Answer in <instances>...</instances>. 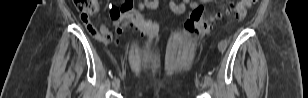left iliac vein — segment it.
Returning <instances> with one entry per match:
<instances>
[{
  "mask_svg": "<svg viewBox=\"0 0 308 98\" xmlns=\"http://www.w3.org/2000/svg\"><path fill=\"white\" fill-rule=\"evenodd\" d=\"M207 85H208V83L206 82V80H204L203 88H205Z\"/></svg>",
  "mask_w": 308,
  "mask_h": 98,
  "instance_id": "obj_1",
  "label": "left iliac vein"
}]
</instances>
